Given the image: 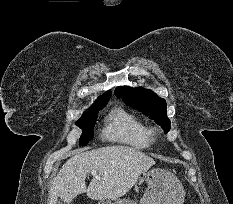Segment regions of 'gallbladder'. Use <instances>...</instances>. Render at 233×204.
Returning a JSON list of instances; mask_svg holds the SVG:
<instances>
[{"label": "gallbladder", "mask_w": 233, "mask_h": 204, "mask_svg": "<svg viewBox=\"0 0 233 204\" xmlns=\"http://www.w3.org/2000/svg\"><path fill=\"white\" fill-rule=\"evenodd\" d=\"M57 204H63L62 202H58Z\"/></svg>", "instance_id": "bac80fb5"}]
</instances>
